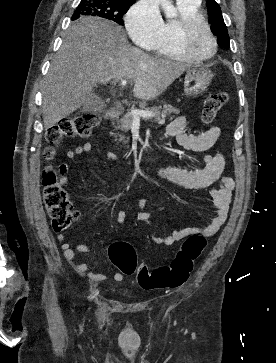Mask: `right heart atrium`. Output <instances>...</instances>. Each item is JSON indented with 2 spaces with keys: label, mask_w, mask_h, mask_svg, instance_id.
Segmentation results:
<instances>
[{
  "label": "right heart atrium",
  "mask_w": 276,
  "mask_h": 363,
  "mask_svg": "<svg viewBox=\"0 0 276 363\" xmlns=\"http://www.w3.org/2000/svg\"><path fill=\"white\" fill-rule=\"evenodd\" d=\"M125 23L135 43L151 45L158 38L163 25L158 3L155 0H139L127 12Z\"/></svg>",
  "instance_id": "obj_1"
}]
</instances>
